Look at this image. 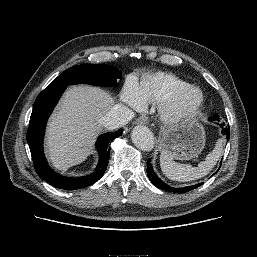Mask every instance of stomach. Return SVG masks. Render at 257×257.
<instances>
[{
	"label": "stomach",
	"mask_w": 257,
	"mask_h": 257,
	"mask_svg": "<svg viewBox=\"0 0 257 257\" xmlns=\"http://www.w3.org/2000/svg\"><path fill=\"white\" fill-rule=\"evenodd\" d=\"M159 143L173 159L190 160L203 150L205 131L197 120L188 119L164 129Z\"/></svg>",
	"instance_id": "0dacf381"
}]
</instances>
